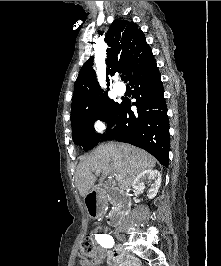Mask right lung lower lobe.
Listing matches in <instances>:
<instances>
[{
  "instance_id": "1",
  "label": "right lung lower lobe",
  "mask_w": 221,
  "mask_h": 266,
  "mask_svg": "<svg viewBox=\"0 0 221 266\" xmlns=\"http://www.w3.org/2000/svg\"><path fill=\"white\" fill-rule=\"evenodd\" d=\"M134 88L131 103L123 99L115 122L100 139H116L142 148L152 154L164 167L169 163V120L156 61L135 71L129 79ZM137 107V112L131 106Z\"/></svg>"
}]
</instances>
